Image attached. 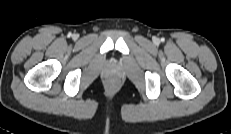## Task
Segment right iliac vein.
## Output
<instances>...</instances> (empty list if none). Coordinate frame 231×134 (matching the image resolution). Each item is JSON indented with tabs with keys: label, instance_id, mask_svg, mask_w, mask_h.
Segmentation results:
<instances>
[{
	"label": "right iliac vein",
	"instance_id": "obj_1",
	"mask_svg": "<svg viewBox=\"0 0 231 134\" xmlns=\"http://www.w3.org/2000/svg\"><path fill=\"white\" fill-rule=\"evenodd\" d=\"M73 37H74L75 39L77 38V36H76V35H74Z\"/></svg>",
	"mask_w": 231,
	"mask_h": 134
}]
</instances>
